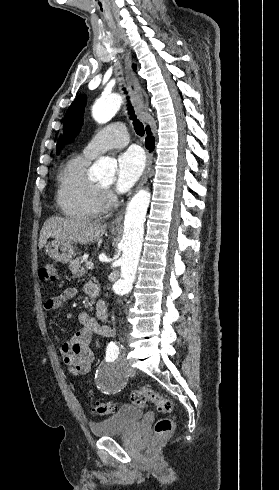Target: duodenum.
<instances>
[{"label":"duodenum","mask_w":279,"mask_h":490,"mask_svg":"<svg viewBox=\"0 0 279 490\" xmlns=\"http://www.w3.org/2000/svg\"><path fill=\"white\" fill-rule=\"evenodd\" d=\"M99 286L97 284L92 285L91 296H97L99 294Z\"/></svg>","instance_id":"obj_1"}]
</instances>
